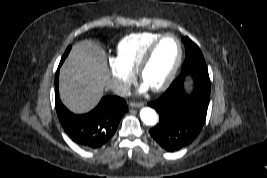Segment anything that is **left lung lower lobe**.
<instances>
[{"instance_id":"1","label":"left lung lower lobe","mask_w":267,"mask_h":178,"mask_svg":"<svg viewBox=\"0 0 267 178\" xmlns=\"http://www.w3.org/2000/svg\"><path fill=\"white\" fill-rule=\"evenodd\" d=\"M188 75L194 80L190 95L184 90ZM210 88L208 74L186 73L179 75L160 98L148 103L159 114V122L149 130L153 140L169 152L189 145L205 123Z\"/></svg>"}]
</instances>
